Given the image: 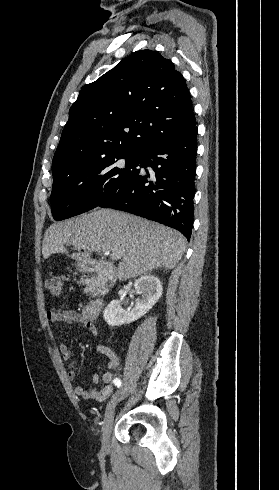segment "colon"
I'll use <instances>...</instances> for the list:
<instances>
[{"instance_id": "1", "label": "colon", "mask_w": 279, "mask_h": 490, "mask_svg": "<svg viewBox=\"0 0 279 490\" xmlns=\"http://www.w3.org/2000/svg\"><path fill=\"white\" fill-rule=\"evenodd\" d=\"M46 290L53 296H60L62 292V281L59 277H50L45 281Z\"/></svg>"}]
</instances>
